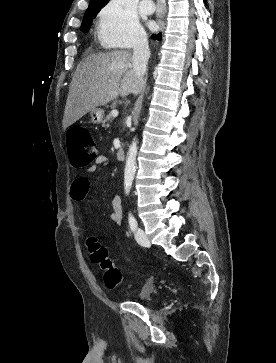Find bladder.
Returning a JSON list of instances; mask_svg holds the SVG:
<instances>
[{
  "label": "bladder",
  "mask_w": 276,
  "mask_h": 363,
  "mask_svg": "<svg viewBox=\"0 0 276 363\" xmlns=\"http://www.w3.org/2000/svg\"><path fill=\"white\" fill-rule=\"evenodd\" d=\"M158 294V290L151 286L148 287L143 294L138 298V302L140 303H145V304H149L152 303L154 301V298L157 296Z\"/></svg>",
  "instance_id": "bladder-1"
}]
</instances>
